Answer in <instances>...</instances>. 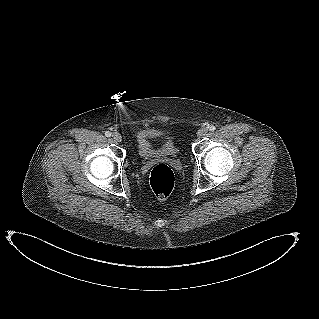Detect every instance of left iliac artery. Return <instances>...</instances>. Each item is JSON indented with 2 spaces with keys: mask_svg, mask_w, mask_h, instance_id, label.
<instances>
[{
  "mask_svg": "<svg viewBox=\"0 0 319 319\" xmlns=\"http://www.w3.org/2000/svg\"><path fill=\"white\" fill-rule=\"evenodd\" d=\"M208 128H209V130L212 131V132L216 129V127H215L214 125H210Z\"/></svg>",
  "mask_w": 319,
  "mask_h": 319,
  "instance_id": "left-iliac-artery-1",
  "label": "left iliac artery"
}]
</instances>
